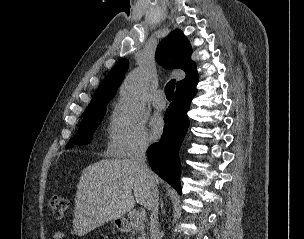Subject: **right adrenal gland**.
Segmentation results:
<instances>
[{"label": "right adrenal gland", "mask_w": 304, "mask_h": 239, "mask_svg": "<svg viewBox=\"0 0 304 239\" xmlns=\"http://www.w3.org/2000/svg\"><path fill=\"white\" fill-rule=\"evenodd\" d=\"M160 204H161V211L164 214L165 213L164 208H163L164 207V203H163L162 199L160 200Z\"/></svg>", "instance_id": "obj_1"}]
</instances>
